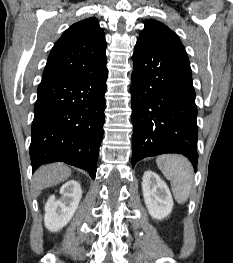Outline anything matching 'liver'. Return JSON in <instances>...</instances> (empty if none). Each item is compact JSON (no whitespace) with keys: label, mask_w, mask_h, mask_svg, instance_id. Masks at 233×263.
Returning <instances> with one entry per match:
<instances>
[{"label":"liver","mask_w":233,"mask_h":263,"mask_svg":"<svg viewBox=\"0 0 233 263\" xmlns=\"http://www.w3.org/2000/svg\"><path fill=\"white\" fill-rule=\"evenodd\" d=\"M71 175V170L64 164H50L40 167L34 174L33 187L36 192L57 185Z\"/></svg>","instance_id":"6515ba94"}]
</instances>
